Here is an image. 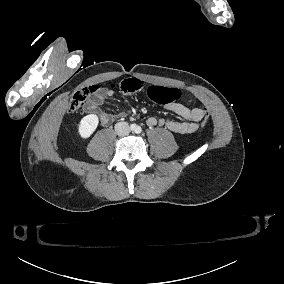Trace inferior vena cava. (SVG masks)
<instances>
[{"label":"inferior vena cava","instance_id":"obj_1","mask_svg":"<svg viewBox=\"0 0 284 284\" xmlns=\"http://www.w3.org/2000/svg\"><path fill=\"white\" fill-rule=\"evenodd\" d=\"M115 131L118 135L123 136L130 133V127L127 122H119L115 124Z\"/></svg>","mask_w":284,"mask_h":284}]
</instances>
